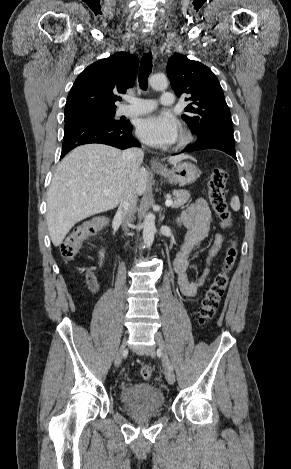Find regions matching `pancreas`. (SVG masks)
I'll return each instance as SVG.
<instances>
[{
  "instance_id": "pancreas-1",
  "label": "pancreas",
  "mask_w": 291,
  "mask_h": 469,
  "mask_svg": "<svg viewBox=\"0 0 291 469\" xmlns=\"http://www.w3.org/2000/svg\"><path fill=\"white\" fill-rule=\"evenodd\" d=\"M174 202L171 205L174 208L183 206L190 198V194L186 190H173Z\"/></svg>"
}]
</instances>
